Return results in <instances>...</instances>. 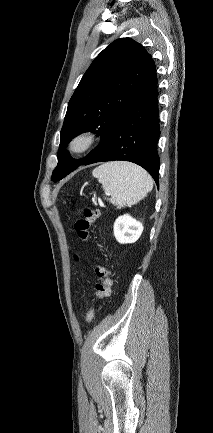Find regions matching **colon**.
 Here are the masks:
<instances>
[{
  "mask_svg": "<svg viewBox=\"0 0 213 433\" xmlns=\"http://www.w3.org/2000/svg\"><path fill=\"white\" fill-rule=\"evenodd\" d=\"M99 215L100 212L96 208H83V217L78 219L74 225L75 231L82 241L88 242L91 240L90 231ZM95 274L98 277L99 282L95 286V301L91 303L85 314V320L87 323L93 321L97 303L110 296L112 287V271L100 260L95 268Z\"/></svg>",
  "mask_w": 213,
  "mask_h": 433,
  "instance_id": "colon-1",
  "label": "colon"
}]
</instances>
